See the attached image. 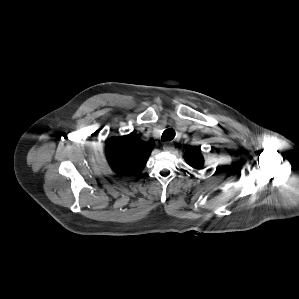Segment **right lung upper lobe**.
Listing matches in <instances>:
<instances>
[{
	"instance_id": "cb5924a9",
	"label": "right lung upper lobe",
	"mask_w": 299,
	"mask_h": 299,
	"mask_svg": "<svg viewBox=\"0 0 299 299\" xmlns=\"http://www.w3.org/2000/svg\"><path fill=\"white\" fill-rule=\"evenodd\" d=\"M105 151L109 165L117 174L138 175L151 154V146L130 134L107 140Z\"/></svg>"
}]
</instances>
